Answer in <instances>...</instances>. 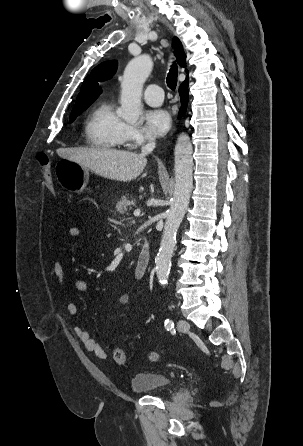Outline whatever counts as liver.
I'll return each mask as SVG.
<instances>
[{
	"label": "liver",
	"instance_id": "liver-1",
	"mask_svg": "<svg viewBox=\"0 0 303 446\" xmlns=\"http://www.w3.org/2000/svg\"><path fill=\"white\" fill-rule=\"evenodd\" d=\"M57 153L101 177L123 182L136 179L147 164L143 154L114 149L67 148L58 149Z\"/></svg>",
	"mask_w": 303,
	"mask_h": 446
}]
</instances>
